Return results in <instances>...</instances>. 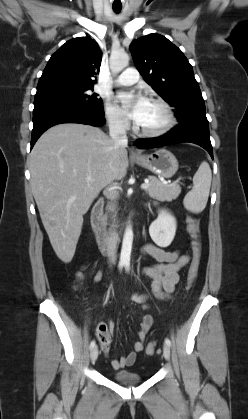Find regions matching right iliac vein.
Segmentation results:
<instances>
[{
	"instance_id": "right-iliac-vein-1",
	"label": "right iliac vein",
	"mask_w": 248,
	"mask_h": 419,
	"mask_svg": "<svg viewBox=\"0 0 248 419\" xmlns=\"http://www.w3.org/2000/svg\"><path fill=\"white\" fill-rule=\"evenodd\" d=\"M90 357L92 362H95L98 358V348L96 346L91 349Z\"/></svg>"
}]
</instances>
